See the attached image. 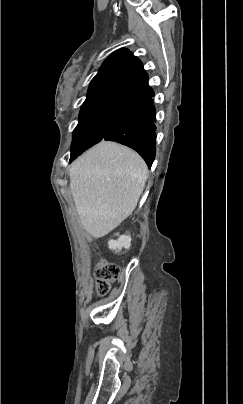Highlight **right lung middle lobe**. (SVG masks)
I'll return each mask as SVG.
<instances>
[{"mask_svg": "<svg viewBox=\"0 0 243 404\" xmlns=\"http://www.w3.org/2000/svg\"><path fill=\"white\" fill-rule=\"evenodd\" d=\"M126 105L120 102H104L81 107L79 123L73 132L70 163L104 138Z\"/></svg>", "mask_w": 243, "mask_h": 404, "instance_id": "1", "label": "right lung middle lobe"}]
</instances>
